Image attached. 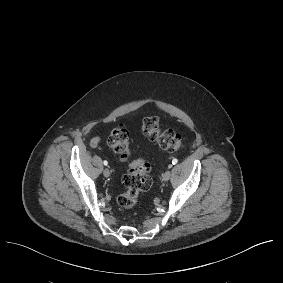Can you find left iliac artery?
I'll return each mask as SVG.
<instances>
[{
    "mask_svg": "<svg viewBox=\"0 0 283 283\" xmlns=\"http://www.w3.org/2000/svg\"><path fill=\"white\" fill-rule=\"evenodd\" d=\"M177 162H178L177 159H173V160H172V164H173V165H175Z\"/></svg>",
    "mask_w": 283,
    "mask_h": 283,
    "instance_id": "left-iliac-artery-1",
    "label": "left iliac artery"
}]
</instances>
